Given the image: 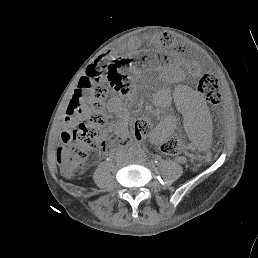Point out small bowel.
I'll use <instances>...</instances> for the list:
<instances>
[{
  "instance_id": "obj_1",
  "label": "small bowel",
  "mask_w": 258,
  "mask_h": 258,
  "mask_svg": "<svg viewBox=\"0 0 258 258\" xmlns=\"http://www.w3.org/2000/svg\"><path fill=\"white\" fill-rule=\"evenodd\" d=\"M139 40L138 39H132L129 41V43L126 46V49H135L139 46ZM82 115H85V111H82Z\"/></svg>"
}]
</instances>
